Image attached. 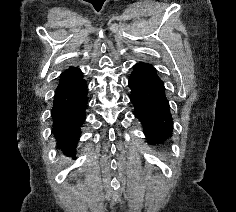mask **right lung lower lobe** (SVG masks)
Instances as JSON below:
<instances>
[{
    "label": "right lung lower lobe",
    "instance_id": "1",
    "mask_svg": "<svg viewBox=\"0 0 236 212\" xmlns=\"http://www.w3.org/2000/svg\"><path fill=\"white\" fill-rule=\"evenodd\" d=\"M58 80L51 111L52 132L57 147L73 155L86 117L88 89L83 73L77 67L66 69Z\"/></svg>",
    "mask_w": 236,
    "mask_h": 212
}]
</instances>
